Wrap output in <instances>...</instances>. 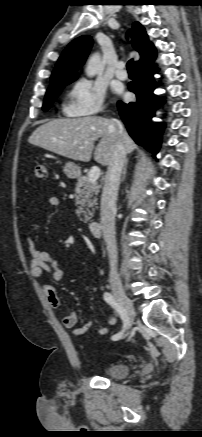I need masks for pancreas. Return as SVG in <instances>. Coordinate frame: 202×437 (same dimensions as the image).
<instances>
[{
	"label": "pancreas",
	"mask_w": 202,
	"mask_h": 437,
	"mask_svg": "<svg viewBox=\"0 0 202 437\" xmlns=\"http://www.w3.org/2000/svg\"><path fill=\"white\" fill-rule=\"evenodd\" d=\"M100 185L97 182H89L88 176H80L75 186L77 206L76 214L83 222L91 220L93 213L89 210L97 205V195Z\"/></svg>",
	"instance_id": "pancreas-1"
}]
</instances>
